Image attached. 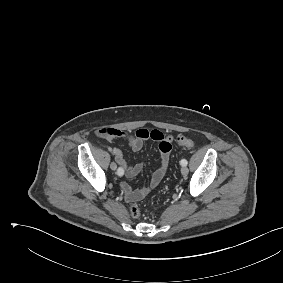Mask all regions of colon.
<instances>
[{
	"label": "colon",
	"instance_id": "1",
	"mask_svg": "<svg viewBox=\"0 0 283 283\" xmlns=\"http://www.w3.org/2000/svg\"><path fill=\"white\" fill-rule=\"evenodd\" d=\"M177 142H178L179 145L186 147V148H194L196 146L195 141H193L192 139H189L185 136H182V135L178 136ZM129 212L134 217H138L139 214H140L139 208L135 204H132L129 207Z\"/></svg>",
	"mask_w": 283,
	"mask_h": 283
}]
</instances>
